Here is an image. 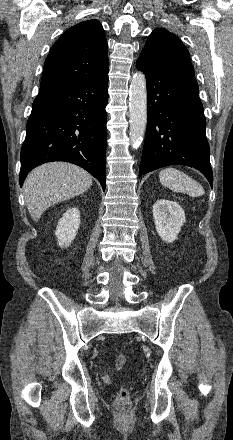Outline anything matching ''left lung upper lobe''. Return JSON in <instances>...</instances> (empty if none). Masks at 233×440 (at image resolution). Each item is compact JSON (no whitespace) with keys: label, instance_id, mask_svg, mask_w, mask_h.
Instances as JSON below:
<instances>
[{"label":"left lung upper lobe","instance_id":"left-lung-upper-lobe-1","mask_svg":"<svg viewBox=\"0 0 233 440\" xmlns=\"http://www.w3.org/2000/svg\"><path fill=\"white\" fill-rule=\"evenodd\" d=\"M140 56L161 69L194 76L188 50L165 29H155L150 34Z\"/></svg>","mask_w":233,"mask_h":440}]
</instances>
